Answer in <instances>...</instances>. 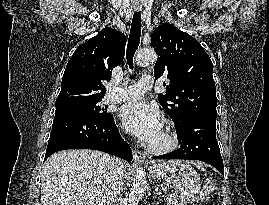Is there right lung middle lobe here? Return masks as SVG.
Listing matches in <instances>:
<instances>
[{
  "instance_id": "dd1d6c3e",
  "label": "right lung middle lobe",
  "mask_w": 269,
  "mask_h": 205,
  "mask_svg": "<svg viewBox=\"0 0 269 205\" xmlns=\"http://www.w3.org/2000/svg\"><path fill=\"white\" fill-rule=\"evenodd\" d=\"M100 101L101 100L56 107L55 117L62 115H87L102 120L112 117L111 113L106 111V108H102L98 105Z\"/></svg>"
}]
</instances>
